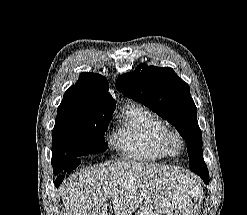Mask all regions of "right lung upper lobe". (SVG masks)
I'll return each mask as SVG.
<instances>
[{
    "mask_svg": "<svg viewBox=\"0 0 247 215\" xmlns=\"http://www.w3.org/2000/svg\"><path fill=\"white\" fill-rule=\"evenodd\" d=\"M109 83L99 74L83 72L75 85L65 94H71L82 102L103 109H114L115 100L108 93Z\"/></svg>",
    "mask_w": 247,
    "mask_h": 215,
    "instance_id": "1",
    "label": "right lung upper lobe"
}]
</instances>
